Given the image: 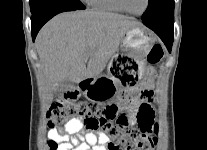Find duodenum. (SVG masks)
I'll use <instances>...</instances> for the list:
<instances>
[{
	"instance_id": "duodenum-1",
	"label": "duodenum",
	"mask_w": 207,
	"mask_h": 150,
	"mask_svg": "<svg viewBox=\"0 0 207 150\" xmlns=\"http://www.w3.org/2000/svg\"><path fill=\"white\" fill-rule=\"evenodd\" d=\"M85 83L86 84H89L90 83V80L89 79L85 80Z\"/></svg>"
}]
</instances>
